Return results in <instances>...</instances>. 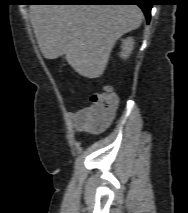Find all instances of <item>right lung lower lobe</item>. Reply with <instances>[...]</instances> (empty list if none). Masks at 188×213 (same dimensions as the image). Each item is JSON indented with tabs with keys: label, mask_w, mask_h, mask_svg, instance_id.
<instances>
[{
	"label": "right lung lower lobe",
	"mask_w": 188,
	"mask_h": 213,
	"mask_svg": "<svg viewBox=\"0 0 188 213\" xmlns=\"http://www.w3.org/2000/svg\"><path fill=\"white\" fill-rule=\"evenodd\" d=\"M43 3H65V4H136L144 12L147 22L150 20L151 0H46Z\"/></svg>",
	"instance_id": "1"
}]
</instances>
